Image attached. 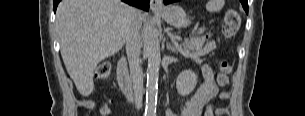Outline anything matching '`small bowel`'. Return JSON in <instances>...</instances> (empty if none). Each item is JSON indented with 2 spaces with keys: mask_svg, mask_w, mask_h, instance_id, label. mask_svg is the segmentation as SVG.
Listing matches in <instances>:
<instances>
[{
  "mask_svg": "<svg viewBox=\"0 0 305 116\" xmlns=\"http://www.w3.org/2000/svg\"><path fill=\"white\" fill-rule=\"evenodd\" d=\"M202 82L194 95L188 99L180 111V116H222L225 113L224 108L214 109V103L217 98L225 100L229 93L221 92L214 80V72L209 65H203L201 68ZM166 116H177L172 111L167 110Z\"/></svg>",
  "mask_w": 305,
  "mask_h": 116,
  "instance_id": "1",
  "label": "small bowel"
}]
</instances>
